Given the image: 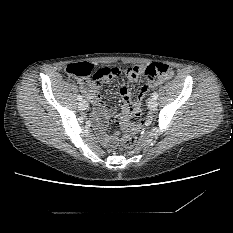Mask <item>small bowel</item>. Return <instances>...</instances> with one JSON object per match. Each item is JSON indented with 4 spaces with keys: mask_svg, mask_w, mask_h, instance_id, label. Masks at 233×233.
Listing matches in <instances>:
<instances>
[{
    "mask_svg": "<svg viewBox=\"0 0 233 233\" xmlns=\"http://www.w3.org/2000/svg\"><path fill=\"white\" fill-rule=\"evenodd\" d=\"M114 75L115 74L112 73L98 80L78 79V83L81 87V90L93 102V112L99 121H103L106 118V116H110L115 112L114 106L103 102L101 100V95H100L104 82L111 80ZM164 80H165V77L163 76L159 77L155 81V85L162 84ZM130 81L134 83L137 80L131 78ZM148 89L149 87L147 85H144L141 88L137 96V99L134 103H132L130 100V89L128 86H125V85L121 86L119 89V93H120V96L122 97L124 105L132 104V105H136L139 107ZM128 124L129 122L126 119L124 122V125H128ZM98 137L104 143H108L110 141V136L102 129H98Z\"/></svg>",
    "mask_w": 233,
    "mask_h": 233,
    "instance_id": "obj_1",
    "label": "small bowel"
}]
</instances>
